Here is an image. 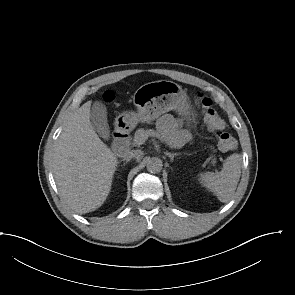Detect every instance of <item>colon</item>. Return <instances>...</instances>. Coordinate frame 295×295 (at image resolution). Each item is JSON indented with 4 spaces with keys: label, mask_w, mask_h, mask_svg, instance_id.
Instances as JSON below:
<instances>
[{
    "label": "colon",
    "mask_w": 295,
    "mask_h": 295,
    "mask_svg": "<svg viewBox=\"0 0 295 295\" xmlns=\"http://www.w3.org/2000/svg\"><path fill=\"white\" fill-rule=\"evenodd\" d=\"M104 98L106 101H110L113 95L107 92ZM196 102L202 110L204 122L209 129L215 131L219 147L224 151L233 150L236 147V140L229 132L224 130L225 122L214 109L212 100L204 94L198 93Z\"/></svg>",
    "instance_id": "1"
}]
</instances>
